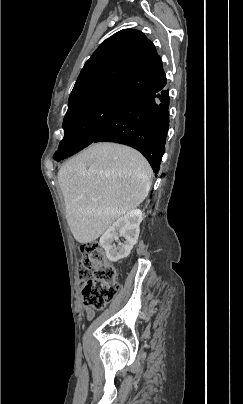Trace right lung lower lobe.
Here are the masks:
<instances>
[{
  "mask_svg": "<svg viewBox=\"0 0 243 404\" xmlns=\"http://www.w3.org/2000/svg\"><path fill=\"white\" fill-rule=\"evenodd\" d=\"M163 88L127 100L93 143L115 142L131 146L143 154L157 173L169 128V92Z\"/></svg>",
  "mask_w": 243,
  "mask_h": 404,
  "instance_id": "98d812e1",
  "label": "right lung lower lobe"
}]
</instances>
